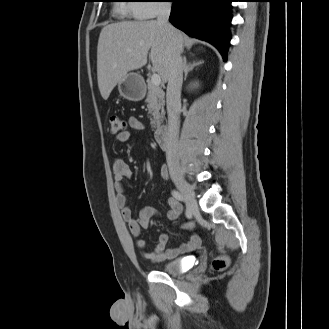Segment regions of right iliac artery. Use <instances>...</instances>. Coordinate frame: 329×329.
<instances>
[{
    "instance_id": "obj_1",
    "label": "right iliac artery",
    "mask_w": 329,
    "mask_h": 329,
    "mask_svg": "<svg viewBox=\"0 0 329 329\" xmlns=\"http://www.w3.org/2000/svg\"><path fill=\"white\" fill-rule=\"evenodd\" d=\"M172 195H173V197L176 198L177 200H179V201H184V197H183V195H182L181 193H179L178 191L173 190V191H172Z\"/></svg>"
}]
</instances>
